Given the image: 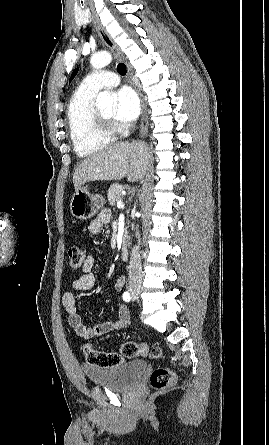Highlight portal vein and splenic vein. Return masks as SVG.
I'll return each instance as SVG.
<instances>
[{
	"instance_id": "18ae733b",
	"label": "portal vein and splenic vein",
	"mask_w": 269,
	"mask_h": 445,
	"mask_svg": "<svg viewBox=\"0 0 269 445\" xmlns=\"http://www.w3.org/2000/svg\"><path fill=\"white\" fill-rule=\"evenodd\" d=\"M117 207H118L119 209L124 208V203H123L122 201H118V202H117Z\"/></svg>"
}]
</instances>
